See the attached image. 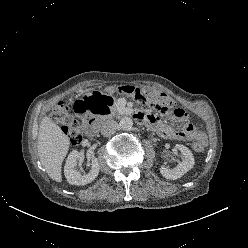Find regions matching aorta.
Wrapping results in <instances>:
<instances>
[{"mask_svg":"<svg viewBox=\"0 0 248 248\" xmlns=\"http://www.w3.org/2000/svg\"><path fill=\"white\" fill-rule=\"evenodd\" d=\"M119 126L123 130H130L133 126V120L130 117H122Z\"/></svg>","mask_w":248,"mask_h":248,"instance_id":"aorta-1","label":"aorta"}]
</instances>
